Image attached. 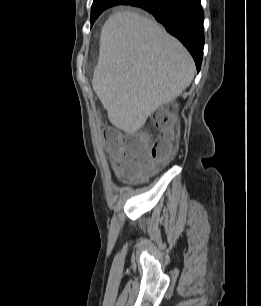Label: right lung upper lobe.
Segmentation results:
<instances>
[{
  "label": "right lung upper lobe",
  "instance_id": "obj_1",
  "mask_svg": "<svg viewBox=\"0 0 261 306\" xmlns=\"http://www.w3.org/2000/svg\"><path fill=\"white\" fill-rule=\"evenodd\" d=\"M100 1H105V0H94L93 3H97V2H100ZM128 0H126L127 2Z\"/></svg>",
  "mask_w": 261,
  "mask_h": 306
}]
</instances>
